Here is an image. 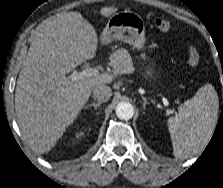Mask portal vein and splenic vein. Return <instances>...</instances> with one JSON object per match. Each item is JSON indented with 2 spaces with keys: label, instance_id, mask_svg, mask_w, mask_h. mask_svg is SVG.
Here are the masks:
<instances>
[{
  "label": "portal vein and splenic vein",
  "instance_id": "18ae733b",
  "mask_svg": "<svg viewBox=\"0 0 223 188\" xmlns=\"http://www.w3.org/2000/svg\"><path fill=\"white\" fill-rule=\"evenodd\" d=\"M98 73V69L91 68L89 65H86L84 70H82L81 72L74 71L71 75L68 76V78L72 81H78L84 78L96 76ZM163 103L165 105H169L168 100L166 98H163Z\"/></svg>",
  "mask_w": 223,
  "mask_h": 188
}]
</instances>
